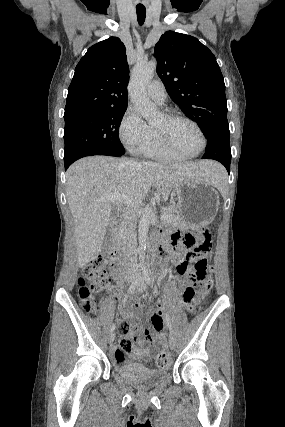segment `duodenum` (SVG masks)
Listing matches in <instances>:
<instances>
[{
    "mask_svg": "<svg viewBox=\"0 0 285 427\" xmlns=\"http://www.w3.org/2000/svg\"><path fill=\"white\" fill-rule=\"evenodd\" d=\"M125 226H126V221L122 217L117 218L113 223L114 232H115L114 245L111 248V250L108 252V255L112 258L120 257V248L118 244L121 239V232L125 229ZM169 252H171V249L167 242H163L157 248V254L159 255V257H164Z\"/></svg>",
    "mask_w": 285,
    "mask_h": 427,
    "instance_id": "410a0bca",
    "label": "duodenum"
}]
</instances>
